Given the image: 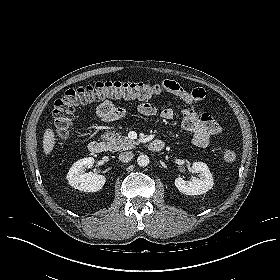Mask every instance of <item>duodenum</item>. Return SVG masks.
<instances>
[{"mask_svg": "<svg viewBox=\"0 0 280 280\" xmlns=\"http://www.w3.org/2000/svg\"><path fill=\"white\" fill-rule=\"evenodd\" d=\"M163 148H164V142L158 139L153 140L149 145V149L152 152H160L163 150ZM104 150H105V144L100 140H93L88 144V151L92 154L100 155L104 153Z\"/></svg>", "mask_w": 280, "mask_h": 280, "instance_id": "duodenum-1", "label": "duodenum"}]
</instances>
